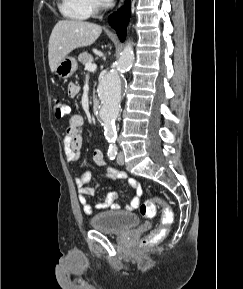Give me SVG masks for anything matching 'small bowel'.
I'll return each mask as SVG.
<instances>
[{
  "mask_svg": "<svg viewBox=\"0 0 243 289\" xmlns=\"http://www.w3.org/2000/svg\"><path fill=\"white\" fill-rule=\"evenodd\" d=\"M68 95L70 97H75L79 93V85L77 83L71 82L67 88ZM84 126V118L80 114H73L70 116L68 121V127L63 136V150L65 158L70 163H75L80 160V151L83 146V135L82 129ZM92 160L94 164L99 167H105V160L103 154L100 150L96 149L93 152ZM106 177L109 180H121L127 179L128 184L133 188L135 195L132 198L130 204L126 205V210L133 211L139 204L143 193L141 184L134 178L127 177V175L116 169L108 168L106 170ZM91 180L90 172L87 169H82L81 173L76 177V184L79 192V202L83 208V211L87 215L93 213V207L90 204L88 197L94 195L95 189L89 185ZM118 195L116 192H109L103 202H99L95 205L98 210L105 209H120V205L117 203Z\"/></svg>",
  "mask_w": 243,
  "mask_h": 289,
  "instance_id": "small-bowel-1",
  "label": "small bowel"
}]
</instances>
